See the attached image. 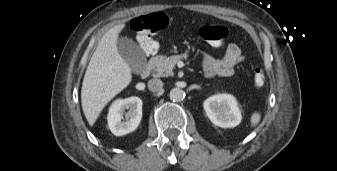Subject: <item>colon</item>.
Listing matches in <instances>:
<instances>
[{
  "instance_id": "1",
  "label": "colon",
  "mask_w": 337,
  "mask_h": 171,
  "mask_svg": "<svg viewBox=\"0 0 337 171\" xmlns=\"http://www.w3.org/2000/svg\"><path fill=\"white\" fill-rule=\"evenodd\" d=\"M168 25L167 17L162 13L143 15L134 18L131 30L136 37L141 52L146 57H153L158 52V45L152 39V34ZM200 37L212 45H221L228 37V30L223 26L204 24L199 29ZM253 84L257 88L264 86L266 78L259 67L253 69Z\"/></svg>"
}]
</instances>
